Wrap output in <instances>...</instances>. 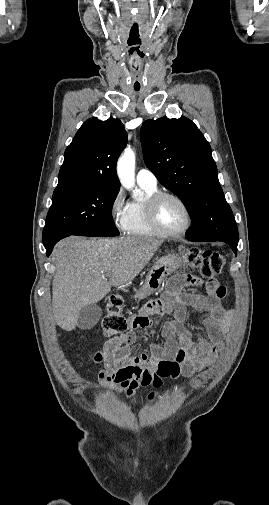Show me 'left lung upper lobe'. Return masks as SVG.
I'll list each match as a JSON object with an SVG mask.
<instances>
[{"label": "left lung upper lobe", "mask_w": 269, "mask_h": 505, "mask_svg": "<svg viewBox=\"0 0 269 505\" xmlns=\"http://www.w3.org/2000/svg\"><path fill=\"white\" fill-rule=\"evenodd\" d=\"M141 143L147 167L190 212L187 239L238 244L211 147L197 126L186 117L149 119L142 125Z\"/></svg>", "instance_id": "left-lung-upper-lobe-1"}]
</instances>
